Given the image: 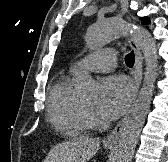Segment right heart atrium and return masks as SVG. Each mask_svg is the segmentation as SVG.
Listing matches in <instances>:
<instances>
[{
	"label": "right heart atrium",
	"mask_w": 168,
	"mask_h": 162,
	"mask_svg": "<svg viewBox=\"0 0 168 162\" xmlns=\"http://www.w3.org/2000/svg\"><path fill=\"white\" fill-rule=\"evenodd\" d=\"M88 121L89 123H93L95 121V117L91 111H88Z\"/></svg>",
	"instance_id": "1"
}]
</instances>
